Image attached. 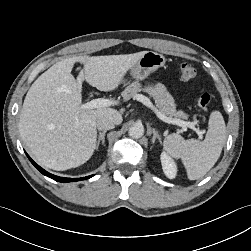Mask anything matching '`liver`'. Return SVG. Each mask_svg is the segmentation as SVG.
<instances>
[{"mask_svg": "<svg viewBox=\"0 0 251 251\" xmlns=\"http://www.w3.org/2000/svg\"><path fill=\"white\" fill-rule=\"evenodd\" d=\"M145 53L72 57L55 63L35 80L24 99L19 132L40 164L63 171L91 158L97 143V119L108 116L120 124L122 116L109 107L83 109L82 82L100 91L115 90ZM77 62L84 70L75 80L71 72Z\"/></svg>", "mask_w": 251, "mask_h": 251, "instance_id": "obj_1", "label": "liver"}]
</instances>
